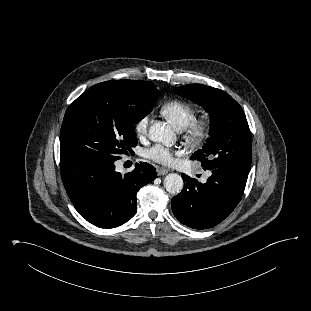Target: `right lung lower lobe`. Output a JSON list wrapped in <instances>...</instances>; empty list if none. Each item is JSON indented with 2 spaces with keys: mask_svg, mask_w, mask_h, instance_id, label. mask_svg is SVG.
I'll use <instances>...</instances> for the list:
<instances>
[{
  "mask_svg": "<svg viewBox=\"0 0 311 311\" xmlns=\"http://www.w3.org/2000/svg\"><path fill=\"white\" fill-rule=\"evenodd\" d=\"M64 187L80 215L100 228H114L136 213V194L157 176L155 168L136 164L125 175L115 171L114 161L85 159L61 161Z\"/></svg>",
  "mask_w": 311,
  "mask_h": 311,
  "instance_id": "98d812e1",
  "label": "right lung lower lobe"
}]
</instances>
